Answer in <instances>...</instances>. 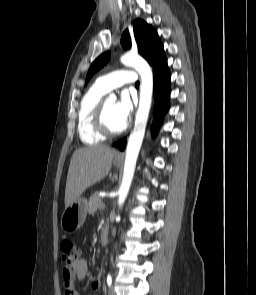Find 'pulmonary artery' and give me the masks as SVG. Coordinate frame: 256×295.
<instances>
[{
  "instance_id": "pulmonary-artery-1",
  "label": "pulmonary artery",
  "mask_w": 256,
  "mask_h": 295,
  "mask_svg": "<svg viewBox=\"0 0 256 295\" xmlns=\"http://www.w3.org/2000/svg\"><path fill=\"white\" fill-rule=\"evenodd\" d=\"M136 78L137 75L134 71L121 69L99 77L96 81V85L105 92H110L125 84L135 83Z\"/></svg>"
}]
</instances>
